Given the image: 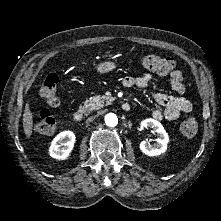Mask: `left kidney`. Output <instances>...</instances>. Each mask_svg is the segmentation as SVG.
<instances>
[{"instance_id":"obj_1","label":"left kidney","mask_w":221,"mask_h":221,"mask_svg":"<svg viewBox=\"0 0 221 221\" xmlns=\"http://www.w3.org/2000/svg\"><path fill=\"white\" fill-rule=\"evenodd\" d=\"M142 127H149L153 129L159 136L156 143L153 145L148 144L146 141H142L139 145L140 150L148 156H158L167 150V144L169 142V136L160 122L155 119H145L141 122Z\"/></svg>"}]
</instances>
